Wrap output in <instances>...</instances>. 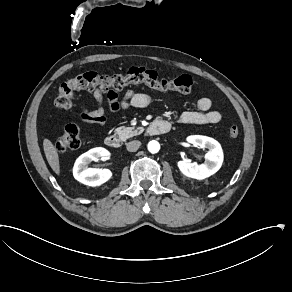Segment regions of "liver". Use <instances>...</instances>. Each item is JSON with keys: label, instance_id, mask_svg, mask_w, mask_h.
<instances>
[{"label": "liver", "instance_id": "obj_1", "mask_svg": "<svg viewBox=\"0 0 292 292\" xmlns=\"http://www.w3.org/2000/svg\"><path fill=\"white\" fill-rule=\"evenodd\" d=\"M43 149L49 166L57 176H60L59 154L54 144L48 138L43 139Z\"/></svg>", "mask_w": 292, "mask_h": 292}]
</instances>
